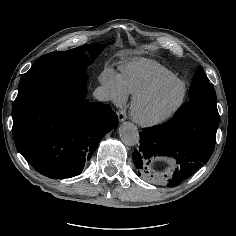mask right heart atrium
<instances>
[{"label": "right heart atrium", "instance_id": "d8ad5b80", "mask_svg": "<svg viewBox=\"0 0 236 236\" xmlns=\"http://www.w3.org/2000/svg\"><path fill=\"white\" fill-rule=\"evenodd\" d=\"M101 83L107 92L108 99L115 105L122 106L126 103L128 92L117 72L105 68L101 75Z\"/></svg>", "mask_w": 236, "mask_h": 236}]
</instances>
